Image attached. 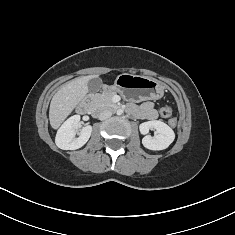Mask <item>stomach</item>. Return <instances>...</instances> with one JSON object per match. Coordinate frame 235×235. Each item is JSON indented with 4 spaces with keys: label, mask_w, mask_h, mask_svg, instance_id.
I'll return each instance as SVG.
<instances>
[{
    "label": "stomach",
    "mask_w": 235,
    "mask_h": 235,
    "mask_svg": "<svg viewBox=\"0 0 235 235\" xmlns=\"http://www.w3.org/2000/svg\"><path fill=\"white\" fill-rule=\"evenodd\" d=\"M108 89L121 94L128 101L141 102L160 99L165 87L154 78L124 73Z\"/></svg>",
    "instance_id": "obj_1"
}]
</instances>
